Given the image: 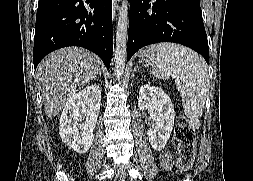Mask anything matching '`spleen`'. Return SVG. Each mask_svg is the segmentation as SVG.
<instances>
[{
    "instance_id": "obj_1",
    "label": "spleen",
    "mask_w": 253,
    "mask_h": 181,
    "mask_svg": "<svg viewBox=\"0 0 253 181\" xmlns=\"http://www.w3.org/2000/svg\"><path fill=\"white\" fill-rule=\"evenodd\" d=\"M150 72L163 80L175 79L185 115L198 119L203 114L208 86V67L193 50L175 43H159L150 52Z\"/></svg>"
}]
</instances>
